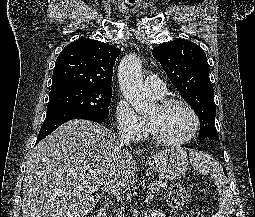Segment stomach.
<instances>
[{
  "label": "stomach",
  "mask_w": 255,
  "mask_h": 217,
  "mask_svg": "<svg viewBox=\"0 0 255 217\" xmlns=\"http://www.w3.org/2000/svg\"><path fill=\"white\" fill-rule=\"evenodd\" d=\"M148 164L162 178L177 180L185 176L188 158L184 149L171 148L151 156L148 159Z\"/></svg>",
  "instance_id": "0dacf381"
}]
</instances>
